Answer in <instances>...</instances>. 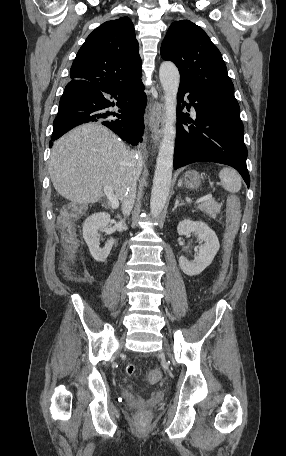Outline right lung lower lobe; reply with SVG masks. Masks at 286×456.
<instances>
[{
	"label": "right lung lower lobe",
	"mask_w": 286,
	"mask_h": 456,
	"mask_svg": "<svg viewBox=\"0 0 286 456\" xmlns=\"http://www.w3.org/2000/svg\"><path fill=\"white\" fill-rule=\"evenodd\" d=\"M119 109L113 111L111 107ZM146 95L141 78L134 83L104 89L91 82L71 80L60 98L58 114L54 120L53 141L72 128L98 121L132 145L142 142L143 114Z\"/></svg>",
	"instance_id": "1"
}]
</instances>
